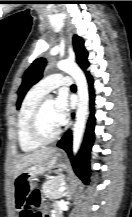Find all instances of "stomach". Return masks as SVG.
Segmentation results:
<instances>
[{
  "instance_id": "stomach-1",
  "label": "stomach",
  "mask_w": 132,
  "mask_h": 217,
  "mask_svg": "<svg viewBox=\"0 0 132 217\" xmlns=\"http://www.w3.org/2000/svg\"><path fill=\"white\" fill-rule=\"evenodd\" d=\"M67 168V160L64 154L55 153L51 158L44 162L34 164L20 172L15 179V187H34V180L37 176L43 175L46 172L60 173Z\"/></svg>"
}]
</instances>
